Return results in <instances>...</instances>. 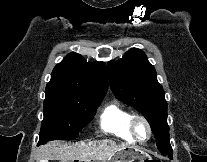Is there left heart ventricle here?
Returning <instances> with one entry per match:
<instances>
[{
	"instance_id": "obj_1",
	"label": "left heart ventricle",
	"mask_w": 207,
	"mask_h": 162,
	"mask_svg": "<svg viewBox=\"0 0 207 162\" xmlns=\"http://www.w3.org/2000/svg\"><path fill=\"white\" fill-rule=\"evenodd\" d=\"M136 135L139 139H145L147 136V129L142 122H139L136 126Z\"/></svg>"
}]
</instances>
